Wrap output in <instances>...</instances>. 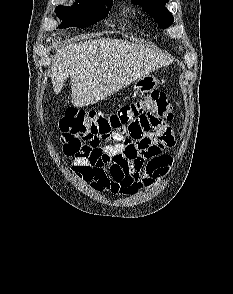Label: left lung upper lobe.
Segmentation results:
<instances>
[{"label": "left lung upper lobe", "instance_id": "left-lung-upper-lobe-1", "mask_svg": "<svg viewBox=\"0 0 233 294\" xmlns=\"http://www.w3.org/2000/svg\"><path fill=\"white\" fill-rule=\"evenodd\" d=\"M135 4H142L144 9L153 16L159 25L167 28L173 24V15L165 8L168 0H132Z\"/></svg>", "mask_w": 233, "mask_h": 294}]
</instances>
